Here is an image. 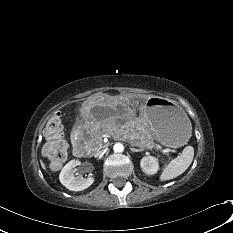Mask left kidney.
I'll list each match as a JSON object with an SVG mask.
<instances>
[{"instance_id":"5707ae66","label":"left kidney","mask_w":233,"mask_h":233,"mask_svg":"<svg viewBox=\"0 0 233 233\" xmlns=\"http://www.w3.org/2000/svg\"><path fill=\"white\" fill-rule=\"evenodd\" d=\"M141 168L148 175L155 174L159 169L158 159L152 156H146L141 160Z\"/></svg>"}]
</instances>
